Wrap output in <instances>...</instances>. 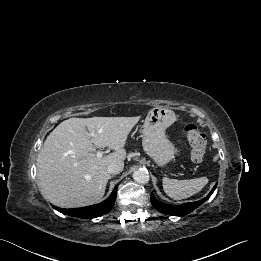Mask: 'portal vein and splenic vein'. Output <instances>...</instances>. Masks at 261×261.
Returning <instances> with one entry per match:
<instances>
[{
  "instance_id": "portal-vein-and-splenic-vein-1",
  "label": "portal vein and splenic vein",
  "mask_w": 261,
  "mask_h": 261,
  "mask_svg": "<svg viewBox=\"0 0 261 261\" xmlns=\"http://www.w3.org/2000/svg\"><path fill=\"white\" fill-rule=\"evenodd\" d=\"M88 136L91 137L92 134H88ZM96 155H97L98 157H102V152H101V151H98V152L96 153Z\"/></svg>"
}]
</instances>
